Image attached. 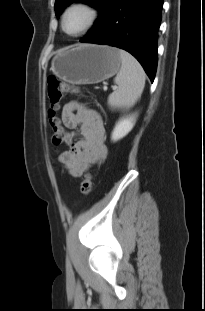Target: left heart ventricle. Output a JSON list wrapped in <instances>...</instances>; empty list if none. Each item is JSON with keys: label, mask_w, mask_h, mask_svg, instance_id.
<instances>
[{"label": "left heart ventricle", "mask_w": 205, "mask_h": 311, "mask_svg": "<svg viewBox=\"0 0 205 311\" xmlns=\"http://www.w3.org/2000/svg\"><path fill=\"white\" fill-rule=\"evenodd\" d=\"M88 21V13L81 8L71 10L66 18L65 28L69 33H76L80 31Z\"/></svg>", "instance_id": "left-heart-ventricle-1"}]
</instances>
